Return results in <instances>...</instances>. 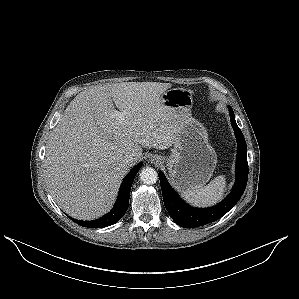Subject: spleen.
<instances>
[{"instance_id":"1","label":"spleen","mask_w":299,"mask_h":299,"mask_svg":"<svg viewBox=\"0 0 299 299\" xmlns=\"http://www.w3.org/2000/svg\"><path fill=\"white\" fill-rule=\"evenodd\" d=\"M225 187L226 178L223 175H219L208 185L200 188L187 189L181 193V196L194 206H211L222 199Z\"/></svg>"}]
</instances>
